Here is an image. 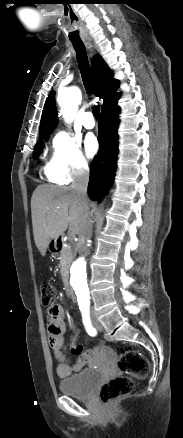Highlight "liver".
I'll return each mask as SVG.
<instances>
[{"mask_svg": "<svg viewBox=\"0 0 183 438\" xmlns=\"http://www.w3.org/2000/svg\"><path fill=\"white\" fill-rule=\"evenodd\" d=\"M31 212L34 241L42 256L67 228L73 235L83 230L84 204L70 187L39 185L32 194Z\"/></svg>", "mask_w": 183, "mask_h": 438, "instance_id": "obj_1", "label": "liver"}]
</instances>
